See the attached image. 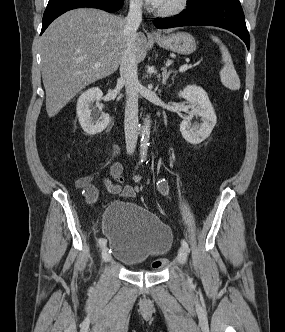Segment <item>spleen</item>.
<instances>
[{"label":"spleen","instance_id":"obj_1","mask_svg":"<svg viewBox=\"0 0 285 332\" xmlns=\"http://www.w3.org/2000/svg\"><path fill=\"white\" fill-rule=\"evenodd\" d=\"M212 40L219 44L222 53V63L224 64L220 70V79L222 84L230 90H238L240 88V79L234 68L231 55L225 45L215 36H211Z\"/></svg>","mask_w":285,"mask_h":332}]
</instances>
